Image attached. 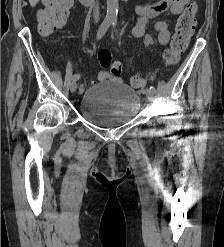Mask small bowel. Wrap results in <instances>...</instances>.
I'll use <instances>...</instances> for the list:
<instances>
[{
	"mask_svg": "<svg viewBox=\"0 0 224 247\" xmlns=\"http://www.w3.org/2000/svg\"><path fill=\"white\" fill-rule=\"evenodd\" d=\"M187 2L188 0H156L139 4L136 7V13L139 17L132 29V35L137 39H143L146 45H151L153 43L152 37L145 34L148 20L166 11H169L172 15H179ZM155 29L158 33V42L162 45L167 44L170 39L167 22L158 20L155 23ZM102 76L105 77L106 74L102 73Z\"/></svg>",
	"mask_w": 224,
	"mask_h": 247,
	"instance_id": "1",
	"label": "small bowel"
}]
</instances>
